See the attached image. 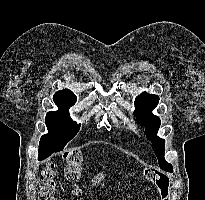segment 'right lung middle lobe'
Returning <instances> with one entry per match:
<instances>
[{"instance_id": "dd1d6c3e", "label": "right lung middle lobe", "mask_w": 205, "mask_h": 200, "mask_svg": "<svg viewBox=\"0 0 205 200\" xmlns=\"http://www.w3.org/2000/svg\"><path fill=\"white\" fill-rule=\"evenodd\" d=\"M58 111L47 113L45 122L48 134L40 140L42 145H51L57 151L64 149L65 145L78 133L80 124L74 122L69 115V108L76 103V96L70 90L58 91L53 96Z\"/></svg>"}]
</instances>
